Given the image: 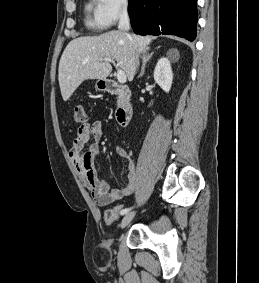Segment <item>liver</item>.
<instances>
[{
	"mask_svg": "<svg viewBox=\"0 0 259 283\" xmlns=\"http://www.w3.org/2000/svg\"><path fill=\"white\" fill-rule=\"evenodd\" d=\"M150 36L113 30L99 36L78 37L66 46L58 69V80L64 101L69 100L79 85L88 79L105 80L112 66L103 58L117 61L129 81L136 72V55L149 49Z\"/></svg>",
	"mask_w": 259,
	"mask_h": 283,
	"instance_id": "liver-1",
	"label": "liver"
}]
</instances>
